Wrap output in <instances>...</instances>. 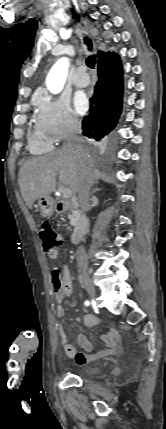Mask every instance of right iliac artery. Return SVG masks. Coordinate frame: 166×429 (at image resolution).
I'll return each instance as SVG.
<instances>
[{
	"label": "right iliac artery",
	"mask_w": 166,
	"mask_h": 429,
	"mask_svg": "<svg viewBox=\"0 0 166 429\" xmlns=\"http://www.w3.org/2000/svg\"><path fill=\"white\" fill-rule=\"evenodd\" d=\"M84 304H85L86 306H89V305H90V302H89L88 300H86V301L84 302Z\"/></svg>",
	"instance_id": "obj_1"
}]
</instances>
